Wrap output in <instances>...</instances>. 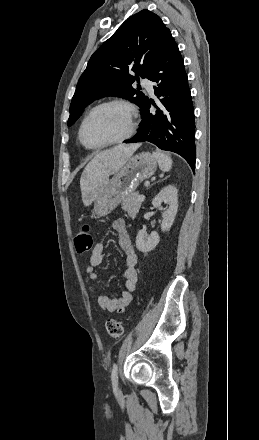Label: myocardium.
<instances>
[{"instance_id": "myocardium-1", "label": "myocardium", "mask_w": 259, "mask_h": 440, "mask_svg": "<svg viewBox=\"0 0 259 440\" xmlns=\"http://www.w3.org/2000/svg\"><path fill=\"white\" fill-rule=\"evenodd\" d=\"M110 105H120L126 109L127 114H128V122H129L128 130L126 131V133L123 136H121L115 140L105 142V143H102V144H99L96 146L87 145L83 140V129H84V126H85L87 120L98 109L106 107V106H110ZM137 127H138L137 112H136V108L134 107V105L125 99H120V98L109 99V100L103 101V102L95 105L85 114V116L79 126L78 139H79L80 143L82 144V146H84L86 149L99 150V149H102V148H105L108 146L120 144V143L130 139L136 133Z\"/></svg>"}]
</instances>
